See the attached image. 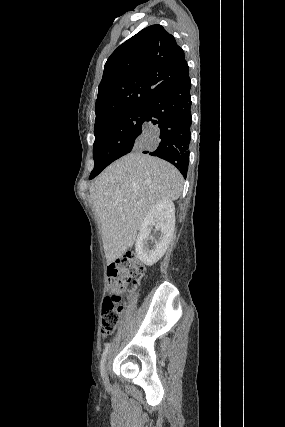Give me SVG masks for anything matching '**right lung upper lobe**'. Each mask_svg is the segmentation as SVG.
I'll use <instances>...</instances> for the list:
<instances>
[{
  "instance_id": "obj_1",
  "label": "right lung upper lobe",
  "mask_w": 285,
  "mask_h": 427,
  "mask_svg": "<svg viewBox=\"0 0 285 427\" xmlns=\"http://www.w3.org/2000/svg\"><path fill=\"white\" fill-rule=\"evenodd\" d=\"M184 51L161 25H152L121 44L105 63L95 104V126L148 104L189 74Z\"/></svg>"
}]
</instances>
